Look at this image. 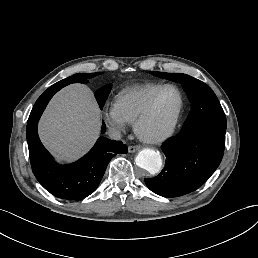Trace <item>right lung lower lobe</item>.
Returning <instances> with one entry per match:
<instances>
[{
    "mask_svg": "<svg viewBox=\"0 0 258 258\" xmlns=\"http://www.w3.org/2000/svg\"><path fill=\"white\" fill-rule=\"evenodd\" d=\"M88 78L76 74L49 87L36 101L28 122L27 142L32 171L39 183L51 194L67 200H81L92 194L98 187L110 159L117 153H127V146L121 141L100 137L94 147L78 161L57 164L42 145L37 125L42 112L52 96L71 83H87ZM106 130L102 125V133Z\"/></svg>",
    "mask_w": 258,
    "mask_h": 258,
    "instance_id": "right-lung-lower-lobe-1",
    "label": "right lung lower lobe"
}]
</instances>
